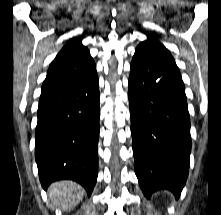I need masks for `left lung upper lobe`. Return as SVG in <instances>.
I'll return each instance as SVG.
<instances>
[{"instance_id":"left-lung-upper-lobe-1","label":"left lung upper lobe","mask_w":221,"mask_h":215,"mask_svg":"<svg viewBox=\"0 0 221 215\" xmlns=\"http://www.w3.org/2000/svg\"><path fill=\"white\" fill-rule=\"evenodd\" d=\"M148 39L141 42L136 49H147L153 46H161L166 49L155 37L153 34H146ZM167 50V49H166Z\"/></svg>"}]
</instances>
